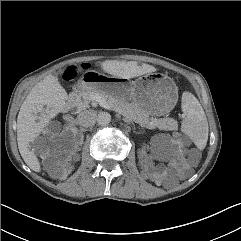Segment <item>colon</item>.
<instances>
[{"label":"colon","instance_id":"colon-1","mask_svg":"<svg viewBox=\"0 0 241 241\" xmlns=\"http://www.w3.org/2000/svg\"><path fill=\"white\" fill-rule=\"evenodd\" d=\"M90 66L87 64V65H84V69H89ZM75 76V72L72 70V69H67L64 74H63V77L65 79H72L74 78Z\"/></svg>","mask_w":241,"mask_h":241}]
</instances>
